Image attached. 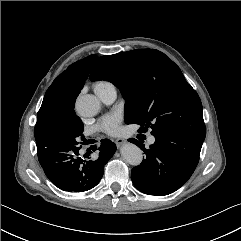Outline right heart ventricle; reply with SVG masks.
Wrapping results in <instances>:
<instances>
[{"instance_id":"e07e8e85","label":"right heart ventricle","mask_w":241,"mask_h":241,"mask_svg":"<svg viewBox=\"0 0 241 241\" xmlns=\"http://www.w3.org/2000/svg\"><path fill=\"white\" fill-rule=\"evenodd\" d=\"M112 84L107 81H99L94 84V89L99 90L111 86Z\"/></svg>"}]
</instances>
